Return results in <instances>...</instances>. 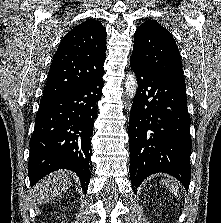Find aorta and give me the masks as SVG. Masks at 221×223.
<instances>
[{"label":"aorta","mask_w":221,"mask_h":223,"mask_svg":"<svg viewBox=\"0 0 221 223\" xmlns=\"http://www.w3.org/2000/svg\"><path fill=\"white\" fill-rule=\"evenodd\" d=\"M137 91V79L134 73H129L125 80V93L129 99H133Z\"/></svg>","instance_id":"762f6f07"}]
</instances>
